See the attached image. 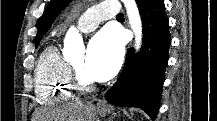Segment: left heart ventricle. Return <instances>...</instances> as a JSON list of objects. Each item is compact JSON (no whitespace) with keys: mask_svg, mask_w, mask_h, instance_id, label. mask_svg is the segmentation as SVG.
Masks as SVG:
<instances>
[{"mask_svg":"<svg viewBox=\"0 0 217 121\" xmlns=\"http://www.w3.org/2000/svg\"><path fill=\"white\" fill-rule=\"evenodd\" d=\"M85 58H81L79 59L78 61L72 63V65L85 77L87 78L88 80H92L87 74H86V71H85Z\"/></svg>","mask_w":217,"mask_h":121,"instance_id":"1","label":"left heart ventricle"}]
</instances>
